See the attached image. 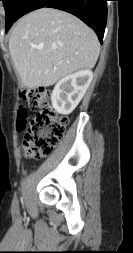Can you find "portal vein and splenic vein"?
<instances>
[{
    "label": "portal vein and splenic vein",
    "instance_id": "obj_1",
    "mask_svg": "<svg viewBox=\"0 0 133 253\" xmlns=\"http://www.w3.org/2000/svg\"><path fill=\"white\" fill-rule=\"evenodd\" d=\"M37 49L41 51V50H42V47H41V46H39V47H37Z\"/></svg>",
    "mask_w": 133,
    "mask_h": 253
}]
</instances>
